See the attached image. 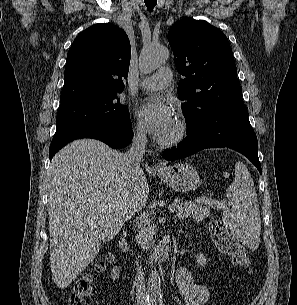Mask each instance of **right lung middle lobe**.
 <instances>
[{
    "label": "right lung middle lobe",
    "instance_id": "dd1d6c3e",
    "mask_svg": "<svg viewBox=\"0 0 297 305\" xmlns=\"http://www.w3.org/2000/svg\"><path fill=\"white\" fill-rule=\"evenodd\" d=\"M122 92H95L60 100L56 132L51 144H56L80 129L103 124L127 125L130 121L127 106L120 104Z\"/></svg>",
    "mask_w": 297,
    "mask_h": 305
}]
</instances>
